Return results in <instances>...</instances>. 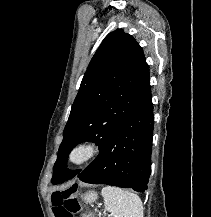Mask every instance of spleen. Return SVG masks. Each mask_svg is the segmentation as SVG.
I'll list each match as a JSON object with an SVG mask.
<instances>
[{"instance_id": "1", "label": "spleen", "mask_w": 211, "mask_h": 217, "mask_svg": "<svg viewBox=\"0 0 211 217\" xmlns=\"http://www.w3.org/2000/svg\"><path fill=\"white\" fill-rule=\"evenodd\" d=\"M105 210L113 217H143L140 197L118 187L106 186L102 189Z\"/></svg>"}]
</instances>
